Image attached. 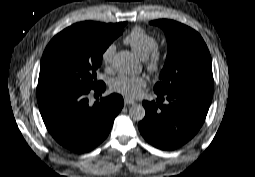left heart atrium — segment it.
<instances>
[{
    "mask_svg": "<svg viewBox=\"0 0 255 177\" xmlns=\"http://www.w3.org/2000/svg\"><path fill=\"white\" fill-rule=\"evenodd\" d=\"M145 85L146 80L141 76L121 75L111 81L110 87L118 94L133 98L140 94L141 88Z\"/></svg>",
    "mask_w": 255,
    "mask_h": 177,
    "instance_id": "obj_1",
    "label": "left heart atrium"
}]
</instances>
